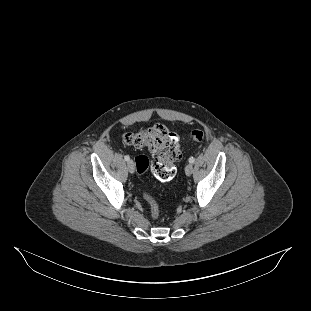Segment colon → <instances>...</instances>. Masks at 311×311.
<instances>
[{"instance_id":"1","label":"colon","mask_w":311,"mask_h":311,"mask_svg":"<svg viewBox=\"0 0 311 311\" xmlns=\"http://www.w3.org/2000/svg\"><path fill=\"white\" fill-rule=\"evenodd\" d=\"M193 142H201L204 134L201 130L195 129L189 134ZM123 141L125 144L137 147L147 148L153 155L154 159L150 163L145 155L136 157V167L139 175H143L149 167L154 176L161 181H169L176 174L174 162L180 157L177 137L166 126L155 124L149 128H141L127 133ZM150 206V212L153 219L159 217V207L156 200L146 191L143 193Z\"/></svg>"}]
</instances>
